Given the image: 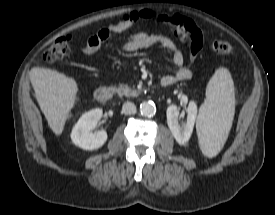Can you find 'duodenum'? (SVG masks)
<instances>
[{
	"label": "duodenum",
	"mask_w": 275,
	"mask_h": 215,
	"mask_svg": "<svg viewBox=\"0 0 275 215\" xmlns=\"http://www.w3.org/2000/svg\"><path fill=\"white\" fill-rule=\"evenodd\" d=\"M161 85L167 87L171 85V82L168 80H161ZM115 91L109 87L99 88L95 93V98L98 102L106 103L114 97Z\"/></svg>",
	"instance_id": "obj_1"
}]
</instances>
